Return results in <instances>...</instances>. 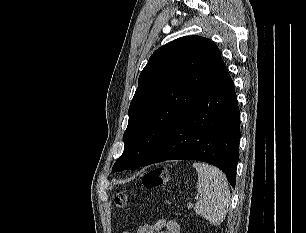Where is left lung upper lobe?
Masks as SVG:
<instances>
[{
  "label": "left lung upper lobe",
  "instance_id": "5c2ea615",
  "mask_svg": "<svg viewBox=\"0 0 306 233\" xmlns=\"http://www.w3.org/2000/svg\"><path fill=\"white\" fill-rule=\"evenodd\" d=\"M224 67L218 47L205 37L185 36L158 48L139 76L124 152L112 170L142 166Z\"/></svg>",
  "mask_w": 306,
  "mask_h": 233
}]
</instances>
